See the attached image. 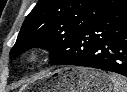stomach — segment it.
Wrapping results in <instances>:
<instances>
[{
	"mask_svg": "<svg viewBox=\"0 0 127 92\" xmlns=\"http://www.w3.org/2000/svg\"><path fill=\"white\" fill-rule=\"evenodd\" d=\"M41 92H111L107 74L91 68L69 66L48 73L38 81Z\"/></svg>",
	"mask_w": 127,
	"mask_h": 92,
	"instance_id": "1",
	"label": "stomach"
}]
</instances>
